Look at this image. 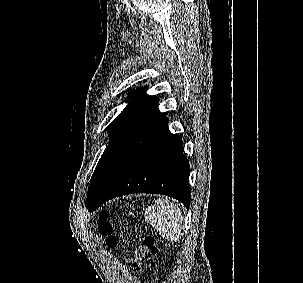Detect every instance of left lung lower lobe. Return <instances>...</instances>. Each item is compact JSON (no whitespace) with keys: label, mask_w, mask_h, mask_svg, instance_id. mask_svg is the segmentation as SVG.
Here are the masks:
<instances>
[{"label":"left lung lower lobe","mask_w":303,"mask_h":283,"mask_svg":"<svg viewBox=\"0 0 303 283\" xmlns=\"http://www.w3.org/2000/svg\"><path fill=\"white\" fill-rule=\"evenodd\" d=\"M168 120L158 109V98L120 152L109 175L85 202L89 210L131 193H155L190 205V166L183 142L168 129Z\"/></svg>","instance_id":"1"}]
</instances>
